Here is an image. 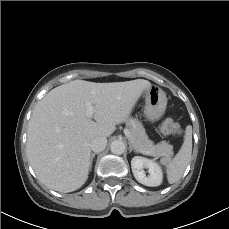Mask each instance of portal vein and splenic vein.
<instances>
[{"mask_svg":"<svg viewBox=\"0 0 229 229\" xmlns=\"http://www.w3.org/2000/svg\"><path fill=\"white\" fill-rule=\"evenodd\" d=\"M86 108H87L86 115L87 117L91 118L95 112V109L92 106V104L89 102L86 103ZM124 134L130 140V142L134 145V142L131 139L130 131L128 129H124ZM140 153L145 154V155H151L150 151H145V150H140Z\"/></svg>","mask_w":229,"mask_h":229,"instance_id":"portal-vein-and-splenic-vein-1","label":"portal vein and splenic vein"}]
</instances>
